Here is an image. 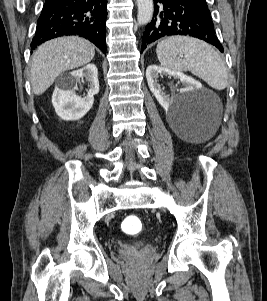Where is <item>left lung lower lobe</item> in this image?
<instances>
[{"mask_svg": "<svg viewBox=\"0 0 267 301\" xmlns=\"http://www.w3.org/2000/svg\"><path fill=\"white\" fill-rule=\"evenodd\" d=\"M158 2L163 6H158ZM154 8V16L143 34L141 53L151 42L169 35L196 37L224 51L207 4L199 0H155Z\"/></svg>", "mask_w": 267, "mask_h": 301, "instance_id": "left-lung-lower-lobe-1", "label": "left lung lower lobe"}]
</instances>
